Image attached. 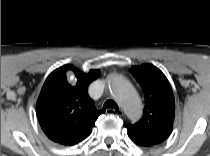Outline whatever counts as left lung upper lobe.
<instances>
[{
    "label": "left lung upper lobe",
    "mask_w": 210,
    "mask_h": 156,
    "mask_svg": "<svg viewBox=\"0 0 210 156\" xmlns=\"http://www.w3.org/2000/svg\"><path fill=\"white\" fill-rule=\"evenodd\" d=\"M131 71L144 91L145 107L139 122L124 126L136 144L143 147L160 144L173 128L175 103L171 86L162 71L151 64L132 66Z\"/></svg>",
    "instance_id": "1"
}]
</instances>
